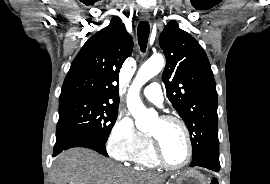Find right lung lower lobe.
<instances>
[{"label": "right lung lower lobe", "mask_w": 270, "mask_h": 184, "mask_svg": "<svg viewBox=\"0 0 270 184\" xmlns=\"http://www.w3.org/2000/svg\"><path fill=\"white\" fill-rule=\"evenodd\" d=\"M74 147L89 148L108 157L104 143L91 136L81 133H66L56 135V143L54 146L53 156L58 155L64 150Z\"/></svg>", "instance_id": "1"}]
</instances>
